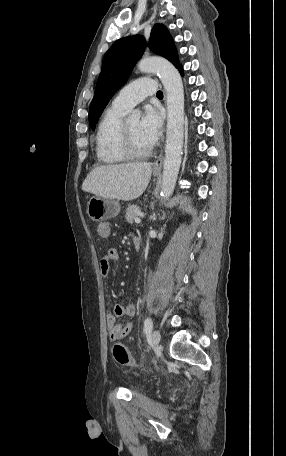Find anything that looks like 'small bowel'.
I'll return each mask as SVG.
<instances>
[{"instance_id":"small-bowel-1","label":"small bowel","mask_w":286,"mask_h":456,"mask_svg":"<svg viewBox=\"0 0 286 456\" xmlns=\"http://www.w3.org/2000/svg\"><path fill=\"white\" fill-rule=\"evenodd\" d=\"M99 236L107 238L111 235V228L107 223H100L97 227ZM119 259L118 250L115 248L108 249L104 256L100 259L99 268L102 276L108 278L110 274V266L112 262ZM136 313L134 304H116L112 311L107 314L106 323L109 337L112 341L121 340L127 337L131 330L132 324L130 322L118 323L117 319L121 317H132Z\"/></svg>"}]
</instances>
